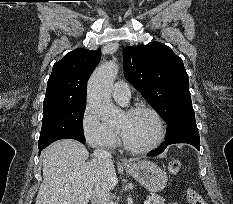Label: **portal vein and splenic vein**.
I'll use <instances>...</instances> for the list:
<instances>
[{
  "label": "portal vein and splenic vein",
  "mask_w": 233,
  "mask_h": 204,
  "mask_svg": "<svg viewBox=\"0 0 233 204\" xmlns=\"http://www.w3.org/2000/svg\"><path fill=\"white\" fill-rule=\"evenodd\" d=\"M69 188V187H68ZM144 204H150L149 200L144 201Z\"/></svg>",
  "instance_id": "1"
}]
</instances>
